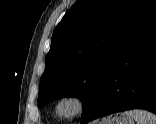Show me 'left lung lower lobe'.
Listing matches in <instances>:
<instances>
[{"label":"left lung lower lobe","mask_w":156,"mask_h":124,"mask_svg":"<svg viewBox=\"0 0 156 124\" xmlns=\"http://www.w3.org/2000/svg\"><path fill=\"white\" fill-rule=\"evenodd\" d=\"M129 109L156 114V11L128 43L82 122Z\"/></svg>","instance_id":"left-lung-lower-lobe-1"}]
</instances>
